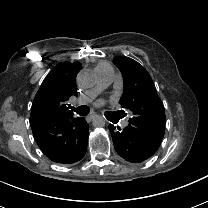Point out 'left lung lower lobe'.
<instances>
[{
  "instance_id": "left-lung-lower-lobe-1",
  "label": "left lung lower lobe",
  "mask_w": 208,
  "mask_h": 208,
  "mask_svg": "<svg viewBox=\"0 0 208 208\" xmlns=\"http://www.w3.org/2000/svg\"><path fill=\"white\" fill-rule=\"evenodd\" d=\"M109 130L118 155L131 163H140L152 157L162 140L131 124L124 129L109 125Z\"/></svg>"
}]
</instances>
